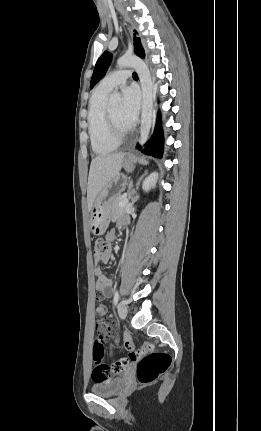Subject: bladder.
Masks as SVG:
<instances>
[{
  "label": "bladder",
  "mask_w": 261,
  "mask_h": 431,
  "mask_svg": "<svg viewBox=\"0 0 261 431\" xmlns=\"http://www.w3.org/2000/svg\"><path fill=\"white\" fill-rule=\"evenodd\" d=\"M125 382L124 377L96 381L91 386V392L104 397L114 396L124 387Z\"/></svg>",
  "instance_id": "1"
}]
</instances>
